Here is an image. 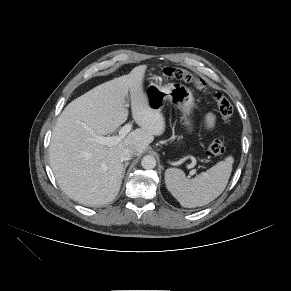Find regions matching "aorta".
<instances>
[{
  "label": "aorta",
  "instance_id": "obj_1",
  "mask_svg": "<svg viewBox=\"0 0 291 291\" xmlns=\"http://www.w3.org/2000/svg\"><path fill=\"white\" fill-rule=\"evenodd\" d=\"M141 166L144 169H153L156 166V159L151 155H146L141 160Z\"/></svg>",
  "mask_w": 291,
  "mask_h": 291
}]
</instances>
